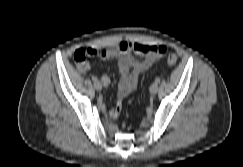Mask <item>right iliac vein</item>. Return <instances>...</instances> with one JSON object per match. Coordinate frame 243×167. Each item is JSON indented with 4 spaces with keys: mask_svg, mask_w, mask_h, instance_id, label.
<instances>
[{
    "mask_svg": "<svg viewBox=\"0 0 243 167\" xmlns=\"http://www.w3.org/2000/svg\"><path fill=\"white\" fill-rule=\"evenodd\" d=\"M94 87L97 91H101L102 90V85L99 82L94 83Z\"/></svg>",
    "mask_w": 243,
    "mask_h": 167,
    "instance_id": "right-iliac-vein-1",
    "label": "right iliac vein"
}]
</instances>
